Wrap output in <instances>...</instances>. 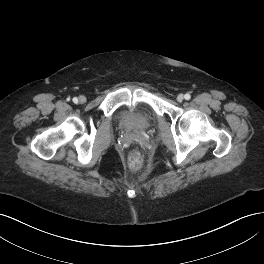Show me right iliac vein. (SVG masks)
I'll use <instances>...</instances> for the list:
<instances>
[{
	"label": "right iliac vein",
	"mask_w": 264,
	"mask_h": 264,
	"mask_svg": "<svg viewBox=\"0 0 264 264\" xmlns=\"http://www.w3.org/2000/svg\"><path fill=\"white\" fill-rule=\"evenodd\" d=\"M78 101H79V103L83 104L86 102V97L84 95H81V96H79Z\"/></svg>",
	"instance_id": "obj_1"
}]
</instances>
